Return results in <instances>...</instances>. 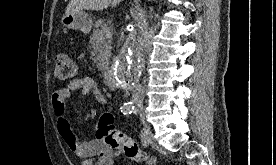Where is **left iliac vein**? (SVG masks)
<instances>
[{"label": "left iliac vein", "instance_id": "4c4485c4", "mask_svg": "<svg viewBox=\"0 0 276 165\" xmlns=\"http://www.w3.org/2000/svg\"><path fill=\"white\" fill-rule=\"evenodd\" d=\"M134 113L138 114V115H142L143 114L142 107L140 105L138 107H136V109L134 110Z\"/></svg>", "mask_w": 276, "mask_h": 165}]
</instances>
